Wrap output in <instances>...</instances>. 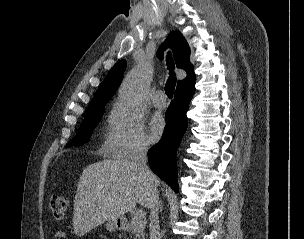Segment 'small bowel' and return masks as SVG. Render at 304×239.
<instances>
[{
    "label": "small bowel",
    "mask_w": 304,
    "mask_h": 239,
    "mask_svg": "<svg viewBox=\"0 0 304 239\" xmlns=\"http://www.w3.org/2000/svg\"><path fill=\"white\" fill-rule=\"evenodd\" d=\"M64 238H66V234L63 231H57L54 234V239H64Z\"/></svg>",
    "instance_id": "c3829d8e"
}]
</instances>
